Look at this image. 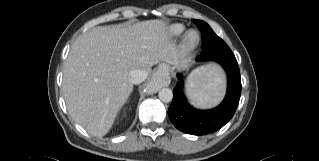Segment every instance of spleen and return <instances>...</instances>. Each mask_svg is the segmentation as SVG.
<instances>
[{
  "instance_id": "spleen-1",
  "label": "spleen",
  "mask_w": 319,
  "mask_h": 161,
  "mask_svg": "<svg viewBox=\"0 0 319 161\" xmlns=\"http://www.w3.org/2000/svg\"><path fill=\"white\" fill-rule=\"evenodd\" d=\"M224 91V76L216 66L193 73L187 82L186 93L190 102L197 107L216 105Z\"/></svg>"
}]
</instances>
